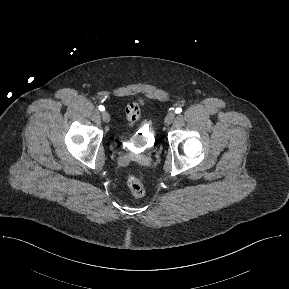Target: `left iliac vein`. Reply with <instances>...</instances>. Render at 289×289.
Segmentation results:
<instances>
[{
	"label": "left iliac vein",
	"instance_id": "4c4485c4",
	"mask_svg": "<svg viewBox=\"0 0 289 289\" xmlns=\"http://www.w3.org/2000/svg\"><path fill=\"white\" fill-rule=\"evenodd\" d=\"M175 114L174 113H171L170 114V120H172L174 118Z\"/></svg>",
	"mask_w": 289,
	"mask_h": 289
}]
</instances>
